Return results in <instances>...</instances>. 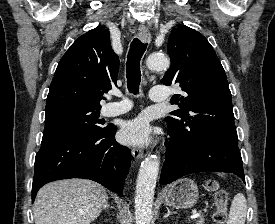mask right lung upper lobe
I'll return each instance as SVG.
<instances>
[{"label": "right lung upper lobe", "instance_id": "cb5924a9", "mask_svg": "<svg viewBox=\"0 0 275 224\" xmlns=\"http://www.w3.org/2000/svg\"><path fill=\"white\" fill-rule=\"evenodd\" d=\"M119 58L109 31L96 27L80 36L61 58L47 96L46 113L77 106L101 108L103 92L116 85Z\"/></svg>", "mask_w": 275, "mask_h": 224}]
</instances>
